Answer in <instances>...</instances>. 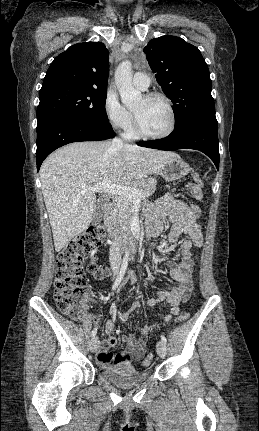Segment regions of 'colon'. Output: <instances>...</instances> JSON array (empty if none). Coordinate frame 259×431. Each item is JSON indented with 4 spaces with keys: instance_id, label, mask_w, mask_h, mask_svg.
<instances>
[{
    "instance_id": "5ec220e1",
    "label": "colon",
    "mask_w": 259,
    "mask_h": 431,
    "mask_svg": "<svg viewBox=\"0 0 259 431\" xmlns=\"http://www.w3.org/2000/svg\"><path fill=\"white\" fill-rule=\"evenodd\" d=\"M192 178L193 182L188 185V190L195 199L201 200L203 197L202 178L198 173H193ZM189 208L192 219H199L202 208L198 203L190 201ZM106 236L107 233L103 227H91L79 237L71 240L57 255L54 299L60 312L73 320H78L83 316L84 302L89 292L82 258L101 245L106 240ZM88 272L96 280H103L107 275L95 258L88 265ZM188 318V312H181L177 315V322L183 323ZM152 363V354L143 359L144 366H150Z\"/></svg>"
}]
</instances>
